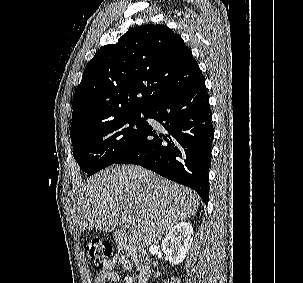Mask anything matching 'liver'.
<instances>
[{
	"label": "liver",
	"instance_id": "6515ba94",
	"mask_svg": "<svg viewBox=\"0 0 303 283\" xmlns=\"http://www.w3.org/2000/svg\"><path fill=\"white\" fill-rule=\"evenodd\" d=\"M199 207L192 189L140 166H110L89 177L78 195L76 232H111L123 215L132 218L128 239L138 248L158 242Z\"/></svg>",
	"mask_w": 303,
	"mask_h": 283
}]
</instances>
